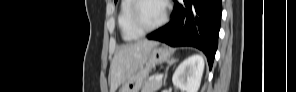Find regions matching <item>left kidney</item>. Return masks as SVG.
Returning <instances> with one entry per match:
<instances>
[{
  "label": "left kidney",
  "mask_w": 296,
  "mask_h": 92,
  "mask_svg": "<svg viewBox=\"0 0 296 92\" xmlns=\"http://www.w3.org/2000/svg\"><path fill=\"white\" fill-rule=\"evenodd\" d=\"M205 67L201 55L194 54L187 57L176 68L172 82L181 92H198Z\"/></svg>",
  "instance_id": "obj_1"
}]
</instances>
